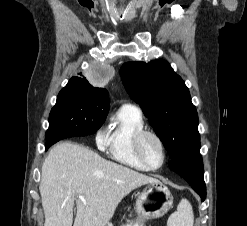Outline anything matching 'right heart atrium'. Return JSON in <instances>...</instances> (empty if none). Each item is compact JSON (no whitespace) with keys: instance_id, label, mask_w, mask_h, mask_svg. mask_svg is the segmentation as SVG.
I'll list each match as a JSON object with an SVG mask.
<instances>
[{"instance_id":"right-heart-atrium-1","label":"right heart atrium","mask_w":247,"mask_h":226,"mask_svg":"<svg viewBox=\"0 0 247 226\" xmlns=\"http://www.w3.org/2000/svg\"><path fill=\"white\" fill-rule=\"evenodd\" d=\"M96 143L99 147H105L107 143V134L104 130H101L97 133Z\"/></svg>"}]
</instances>
